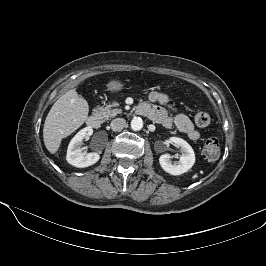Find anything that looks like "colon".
Returning a JSON list of instances; mask_svg holds the SVG:
<instances>
[{"label": "colon", "mask_w": 266, "mask_h": 266, "mask_svg": "<svg viewBox=\"0 0 266 266\" xmlns=\"http://www.w3.org/2000/svg\"><path fill=\"white\" fill-rule=\"evenodd\" d=\"M194 122L198 127H206L210 124V115L203 110H199L194 115ZM220 154V144L217 138H208L202 148V155L206 160H215Z\"/></svg>", "instance_id": "5ec220e1"}]
</instances>
